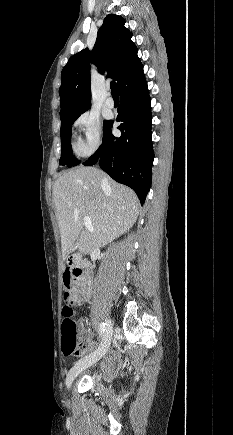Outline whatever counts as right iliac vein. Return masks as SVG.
<instances>
[{"label": "right iliac vein", "instance_id": "63e3f726", "mask_svg": "<svg viewBox=\"0 0 233 435\" xmlns=\"http://www.w3.org/2000/svg\"><path fill=\"white\" fill-rule=\"evenodd\" d=\"M113 335V324L111 320L107 321L106 330L101 341L99 347L90 355L80 359L78 362L74 364V366L70 369L66 378V386L69 389L74 381V379L86 368L95 364L98 360H100L111 344V339Z\"/></svg>", "mask_w": 233, "mask_h": 435}]
</instances>
